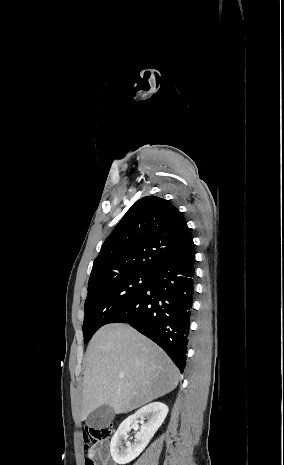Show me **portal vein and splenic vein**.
I'll return each instance as SVG.
<instances>
[{
	"label": "portal vein and splenic vein",
	"mask_w": 284,
	"mask_h": 465,
	"mask_svg": "<svg viewBox=\"0 0 284 465\" xmlns=\"http://www.w3.org/2000/svg\"><path fill=\"white\" fill-rule=\"evenodd\" d=\"M120 379H124V375H119Z\"/></svg>",
	"instance_id": "obj_1"
}]
</instances>
